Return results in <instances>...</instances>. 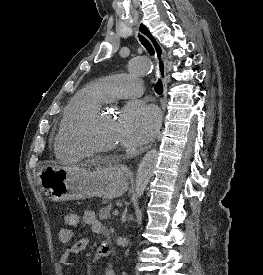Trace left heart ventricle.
<instances>
[{"instance_id":"b2bd125f","label":"left heart ventricle","mask_w":263,"mask_h":275,"mask_svg":"<svg viewBox=\"0 0 263 275\" xmlns=\"http://www.w3.org/2000/svg\"><path fill=\"white\" fill-rule=\"evenodd\" d=\"M91 136L101 144L121 145L123 141L118 131L117 115L111 111H107L98 121Z\"/></svg>"}]
</instances>
